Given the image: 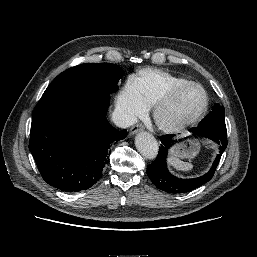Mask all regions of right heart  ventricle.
<instances>
[{
  "instance_id": "1",
  "label": "right heart ventricle",
  "mask_w": 257,
  "mask_h": 257,
  "mask_svg": "<svg viewBox=\"0 0 257 257\" xmlns=\"http://www.w3.org/2000/svg\"><path fill=\"white\" fill-rule=\"evenodd\" d=\"M134 80L149 107L156 105L172 88L190 82L161 69H143Z\"/></svg>"
}]
</instances>
